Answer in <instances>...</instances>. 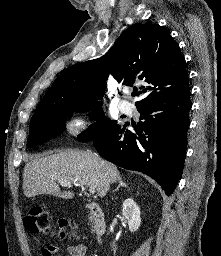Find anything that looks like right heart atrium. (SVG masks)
I'll return each instance as SVG.
<instances>
[{"mask_svg":"<svg viewBox=\"0 0 221 256\" xmlns=\"http://www.w3.org/2000/svg\"><path fill=\"white\" fill-rule=\"evenodd\" d=\"M94 120V116L90 113L77 114L67 121L65 131L70 135H78L91 128Z\"/></svg>","mask_w":221,"mask_h":256,"instance_id":"d8ad5b80","label":"right heart atrium"}]
</instances>
